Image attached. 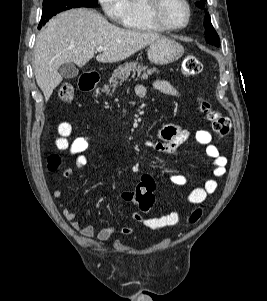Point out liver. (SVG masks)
I'll return each mask as SVG.
<instances>
[{"instance_id": "1", "label": "liver", "mask_w": 267, "mask_h": 301, "mask_svg": "<svg viewBox=\"0 0 267 301\" xmlns=\"http://www.w3.org/2000/svg\"><path fill=\"white\" fill-rule=\"evenodd\" d=\"M161 35L126 30L110 24L94 10L72 9L52 18L38 35L34 47V75L48 101L61 83L58 69L64 63L83 67L97 47L106 50L96 57L98 62L115 63L150 45Z\"/></svg>"}]
</instances>
